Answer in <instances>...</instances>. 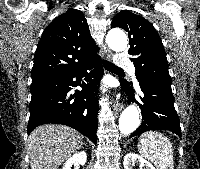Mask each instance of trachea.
Segmentation results:
<instances>
[{
  "label": "trachea",
  "instance_id": "1",
  "mask_svg": "<svg viewBox=\"0 0 200 169\" xmlns=\"http://www.w3.org/2000/svg\"><path fill=\"white\" fill-rule=\"evenodd\" d=\"M102 62H103L104 68L108 71H121L122 70L121 68L115 66L114 64H112L109 61L103 60Z\"/></svg>",
  "mask_w": 200,
  "mask_h": 169
}]
</instances>
